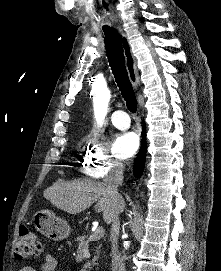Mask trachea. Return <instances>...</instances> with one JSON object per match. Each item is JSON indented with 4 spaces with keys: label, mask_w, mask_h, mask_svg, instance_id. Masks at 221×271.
I'll return each instance as SVG.
<instances>
[{
    "label": "trachea",
    "mask_w": 221,
    "mask_h": 271,
    "mask_svg": "<svg viewBox=\"0 0 221 271\" xmlns=\"http://www.w3.org/2000/svg\"><path fill=\"white\" fill-rule=\"evenodd\" d=\"M105 34V49L112 73L122 97L126 101L129 111L136 113L137 100L132 84L129 80L123 55L122 41L115 28H103Z\"/></svg>",
    "instance_id": "trachea-1"
}]
</instances>
